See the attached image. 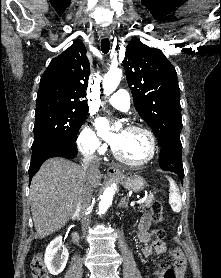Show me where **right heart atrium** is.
<instances>
[{"mask_svg":"<svg viewBox=\"0 0 221 278\" xmlns=\"http://www.w3.org/2000/svg\"><path fill=\"white\" fill-rule=\"evenodd\" d=\"M80 151L88 156L100 155L105 146L99 140L96 130L91 125H86L80 132L77 140Z\"/></svg>","mask_w":221,"mask_h":278,"instance_id":"1","label":"right heart atrium"}]
</instances>
